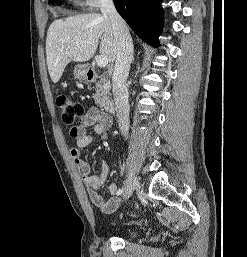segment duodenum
I'll list each match as a JSON object with an SVG mask.
<instances>
[{
	"mask_svg": "<svg viewBox=\"0 0 247 257\" xmlns=\"http://www.w3.org/2000/svg\"><path fill=\"white\" fill-rule=\"evenodd\" d=\"M85 77L89 82H94L98 79V73L91 67L86 68ZM104 111L108 114H113L115 112V103L112 99H107L103 103Z\"/></svg>",
	"mask_w": 247,
	"mask_h": 257,
	"instance_id": "obj_1",
	"label": "duodenum"
}]
</instances>
